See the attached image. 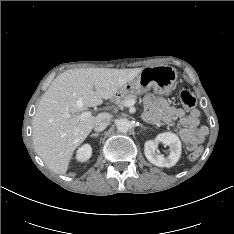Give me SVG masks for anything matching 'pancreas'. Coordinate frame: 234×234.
<instances>
[{"instance_id":"1","label":"pancreas","mask_w":234,"mask_h":234,"mask_svg":"<svg viewBox=\"0 0 234 234\" xmlns=\"http://www.w3.org/2000/svg\"><path fill=\"white\" fill-rule=\"evenodd\" d=\"M136 99H137L136 95L130 94V95H126V96L121 97L119 100L116 101V103L118 104V106L122 107V106H124L123 103L125 101H128V100L135 101Z\"/></svg>"}]
</instances>
